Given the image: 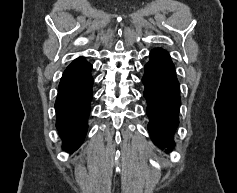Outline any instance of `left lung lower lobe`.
<instances>
[{
  "instance_id": "left-lung-lower-lobe-1",
  "label": "left lung lower lobe",
  "mask_w": 237,
  "mask_h": 193,
  "mask_svg": "<svg viewBox=\"0 0 237 193\" xmlns=\"http://www.w3.org/2000/svg\"><path fill=\"white\" fill-rule=\"evenodd\" d=\"M142 82L149 117L148 130L151 139L160 148L170 151L173 134L179 123L181 104L179 82L167 51L155 48L150 52V61L144 67Z\"/></svg>"
}]
</instances>
